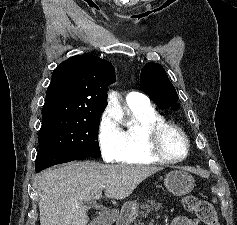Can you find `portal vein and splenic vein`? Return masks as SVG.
Listing matches in <instances>:
<instances>
[{"label": "portal vein and splenic vein", "mask_w": 237, "mask_h": 225, "mask_svg": "<svg viewBox=\"0 0 237 225\" xmlns=\"http://www.w3.org/2000/svg\"><path fill=\"white\" fill-rule=\"evenodd\" d=\"M101 196H102V192L96 194L95 197H94V199H95V200H98V199L101 198Z\"/></svg>", "instance_id": "18ae733b"}]
</instances>
